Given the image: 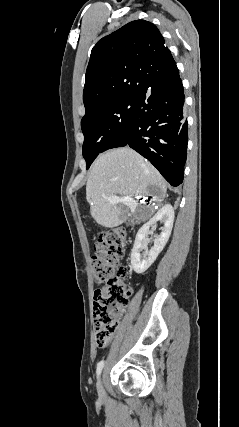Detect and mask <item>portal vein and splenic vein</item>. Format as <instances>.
Listing matches in <instances>:
<instances>
[{"instance_id":"1","label":"portal vein and splenic vein","mask_w":239,"mask_h":427,"mask_svg":"<svg viewBox=\"0 0 239 427\" xmlns=\"http://www.w3.org/2000/svg\"><path fill=\"white\" fill-rule=\"evenodd\" d=\"M108 201L111 204L125 203L129 205L134 202V199L132 197H119L116 195H111V196H108Z\"/></svg>"}]
</instances>
